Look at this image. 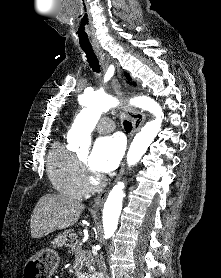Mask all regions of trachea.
I'll return each mask as SVG.
<instances>
[{
  "instance_id": "1",
  "label": "trachea",
  "mask_w": 221,
  "mask_h": 278,
  "mask_svg": "<svg viewBox=\"0 0 221 278\" xmlns=\"http://www.w3.org/2000/svg\"><path fill=\"white\" fill-rule=\"evenodd\" d=\"M82 50L86 54V58H87V61L89 63V66L91 67V69L96 73H100L101 70H100L99 62H98V59H97V56H96L94 50L92 48H83V47H82ZM123 125H124V129L127 132H130L132 130V124L129 121L125 120L123 122Z\"/></svg>"
}]
</instances>
